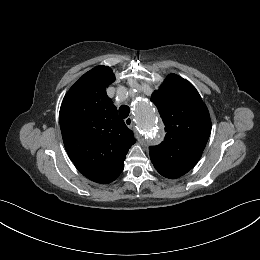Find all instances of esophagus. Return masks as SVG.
<instances>
[{"label": "esophagus", "instance_id": "1", "mask_svg": "<svg viewBox=\"0 0 260 260\" xmlns=\"http://www.w3.org/2000/svg\"><path fill=\"white\" fill-rule=\"evenodd\" d=\"M125 124L129 127L132 128L134 126V122L132 117H128L124 120Z\"/></svg>", "mask_w": 260, "mask_h": 260}]
</instances>
